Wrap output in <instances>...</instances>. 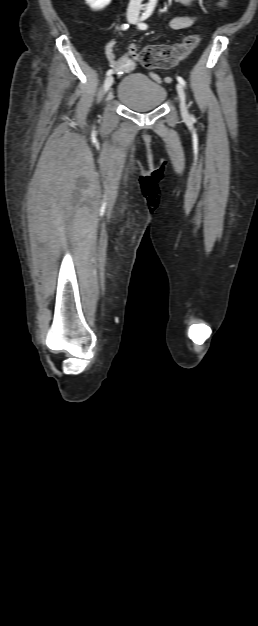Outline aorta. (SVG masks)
I'll use <instances>...</instances> for the list:
<instances>
[{"instance_id": "aorta-1", "label": "aorta", "mask_w": 258, "mask_h": 626, "mask_svg": "<svg viewBox=\"0 0 258 626\" xmlns=\"http://www.w3.org/2000/svg\"><path fill=\"white\" fill-rule=\"evenodd\" d=\"M157 0H149L148 9H153Z\"/></svg>"}]
</instances>
